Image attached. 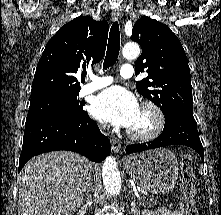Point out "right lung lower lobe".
Returning a JSON list of instances; mask_svg holds the SVG:
<instances>
[{"mask_svg": "<svg viewBox=\"0 0 221 215\" xmlns=\"http://www.w3.org/2000/svg\"><path fill=\"white\" fill-rule=\"evenodd\" d=\"M55 150H70L101 162L110 154L111 144L87 112L76 119L45 116L26 120L19 172L33 156Z\"/></svg>", "mask_w": 221, "mask_h": 215, "instance_id": "obj_1", "label": "right lung lower lobe"}]
</instances>
